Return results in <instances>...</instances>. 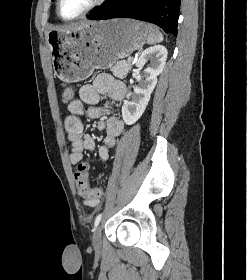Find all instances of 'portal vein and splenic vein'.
I'll use <instances>...</instances> for the list:
<instances>
[{"label": "portal vein and splenic vein", "instance_id": "portal-vein-and-splenic-vein-1", "mask_svg": "<svg viewBox=\"0 0 247 280\" xmlns=\"http://www.w3.org/2000/svg\"><path fill=\"white\" fill-rule=\"evenodd\" d=\"M132 59L131 58H128V61H131Z\"/></svg>", "mask_w": 247, "mask_h": 280}]
</instances>
